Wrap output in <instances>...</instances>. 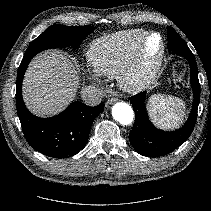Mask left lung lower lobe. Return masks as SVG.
I'll use <instances>...</instances> for the list:
<instances>
[{
  "instance_id": "1",
  "label": "left lung lower lobe",
  "mask_w": 211,
  "mask_h": 211,
  "mask_svg": "<svg viewBox=\"0 0 211 211\" xmlns=\"http://www.w3.org/2000/svg\"><path fill=\"white\" fill-rule=\"evenodd\" d=\"M179 36H168V50L172 54L185 58L190 65V83L193 90V109L189 119L182 128L173 132H165L153 126L145 108L146 92L131 97L134 107L135 122L129 134V141L139 154L148 157H157L168 154L183 144L191 135L197 119V110L200 101V84L198 69L193 53L189 47L183 44Z\"/></svg>"
}]
</instances>
